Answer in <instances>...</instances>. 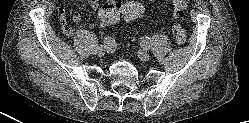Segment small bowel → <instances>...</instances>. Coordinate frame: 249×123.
<instances>
[{
  "label": "small bowel",
  "instance_id": "obj_1",
  "mask_svg": "<svg viewBox=\"0 0 249 123\" xmlns=\"http://www.w3.org/2000/svg\"><path fill=\"white\" fill-rule=\"evenodd\" d=\"M89 6L93 10H97L99 8V2L98 0H85ZM105 3H112L115 2V0H104ZM58 19L60 21L62 30L66 33L69 34L71 32V27L67 24L66 22V15L63 9H59L57 13ZM72 22L75 24H78L81 22V15L79 12H74L72 15Z\"/></svg>",
  "mask_w": 249,
  "mask_h": 123
}]
</instances>
